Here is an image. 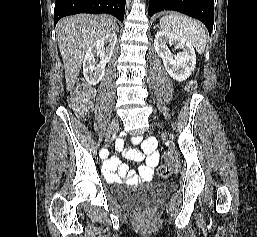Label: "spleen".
<instances>
[{"label":"spleen","mask_w":257,"mask_h":237,"mask_svg":"<svg viewBox=\"0 0 257 237\" xmlns=\"http://www.w3.org/2000/svg\"><path fill=\"white\" fill-rule=\"evenodd\" d=\"M163 31L177 35L189 41L198 53H203L206 46V32L203 26L188 17L166 15L160 20Z\"/></svg>","instance_id":"spleen-1"}]
</instances>
